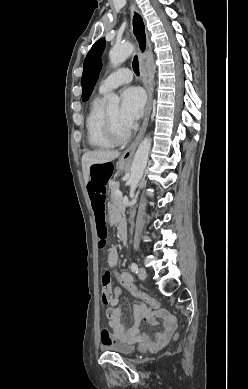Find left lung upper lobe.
<instances>
[{
	"label": "left lung upper lobe",
	"mask_w": 248,
	"mask_h": 389,
	"mask_svg": "<svg viewBox=\"0 0 248 389\" xmlns=\"http://www.w3.org/2000/svg\"><path fill=\"white\" fill-rule=\"evenodd\" d=\"M105 45V38L99 39L97 42L94 43L85 58L82 75L83 101L88 100L98 79L102 67L101 55L105 49Z\"/></svg>",
	"instance_id": "1"
}]
</instances>
